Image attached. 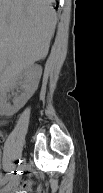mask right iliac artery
Here are the masks:
<instances>
[{"instance_id": "82829eb1", "label": "right iliac artery", "mask_w": 103, "mask_h": 193, "mask_svg": "<svg viewBox=\"0 0 103 193\" xmlns=\"http://www.w3.org/2000/svg\"><path fill=\"white\" fill-rule=\"evenodd\" d=\"M20 162H21V161H20ZM14 172H15V167H12L11 170L6 174L5 178H6L7 180H10L11 177H12V175L14 174Z\"/></svg>"}]
</instances>
